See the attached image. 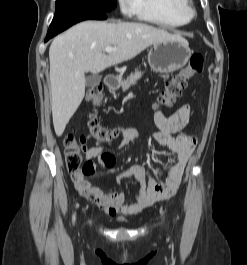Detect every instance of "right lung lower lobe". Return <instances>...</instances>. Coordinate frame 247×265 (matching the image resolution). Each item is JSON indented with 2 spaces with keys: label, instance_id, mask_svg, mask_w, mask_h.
Listing matches in <instances>:
<instances>
[{
  "label": "right lung lower lobe",
  "instance_id": "obj_1",
  "mask_svg": "<svg viewBox=\"0 0 247 265\" xmlns=\"http://www.w3.org/2000/svg\"><path fill=\"white\" fill-rule=\"evenodd\" d=\"M88 19L103 20L106 19V15L105 13L98 11H74L55 15L49 27L45 42L57 35L58 33L66 30L73 24Z\"/></svg>",
  "mask_w": 247,
  "mask_h": 265
}]
</instances>
